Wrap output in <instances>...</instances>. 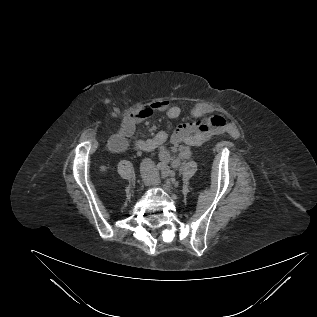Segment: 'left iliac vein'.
<instances>
[{"instance_id":"obj_1","label":"left iliac vein","mask_w":317,"mask_h":317,"mask_svg":"<svg viewBox=\"0 0 317 317\" xmlns=\"http://www.w3.org/2000/svg\"><path fill=\"white\" fill-rule=\"evenodd\" d=\"M173 164H174V165H177L178 162H177V161H174ZM158 174H159V172L155 169L154 172H153V175H154V176H158ZM172 175H173V172L169 170V176H172ZM165 189H166V190H169V187L166 186Z\"/></svg>"}]
</instances>
